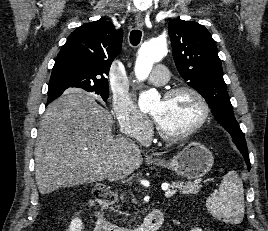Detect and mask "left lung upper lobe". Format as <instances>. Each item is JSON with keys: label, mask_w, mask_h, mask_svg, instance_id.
Masks as SVG:
<instances>
[{"label": "left lung upper lobe", "mask_w": 268, "mask_h": 231, "mask_svg": "<svg viewBox=\"0 0 268 231\" xmlns=\"http://www.w3.org/2000/svg\"><path fill=\"white\" fill-rule=\"evenodd\" d=\"M173 58L178 72L188 85L207 101L215 119L233 138L239 151H247L243 132L223 79L221 61L210 32L195 21L172 20L168 25Z\"/></svg>", "instance_id": "5c2ea615"}]
</instances>
